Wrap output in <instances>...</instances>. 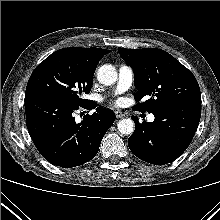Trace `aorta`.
Instances as JSON below:
<instances>
[{
    "mask_svg": "<svg viewBox=\"0 0 220 220\" xmlns=\"http://www.w3.org/2000/svg\"><path fill=\"white\" fill-rule=\"evenodd\" d=\"M117 71L111 64L102 65L97 71L98 81L106 86L114 84L117 80ZM118 130L124 135H131L134 132L135 124L132 119H122L117 124Z\"/></svg>",
    "mask_w": 220,
    "mask_h": 220,
    "instance_id": "1",
    "label": "aorta"
}]
</instances>
